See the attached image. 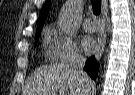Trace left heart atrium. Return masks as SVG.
Returning <instances> with one entry per match:
<instances>
[{
    "instance_id": "1",
    "label": "left heart atrium",
    "mask_w": 135,
    "mask_h": 95,
    "mask_svg": "<svg viewBox=\"0 0 135 95\" xmlns=\"http://www.w3.org/2000/svg\"><path fill=\"white\" fill-rule=\"evenodd\" d=\"M82 47L86 54H91L97 49V43L91 36H85L82 39Z\"/></svg>"
}]
</instances>
